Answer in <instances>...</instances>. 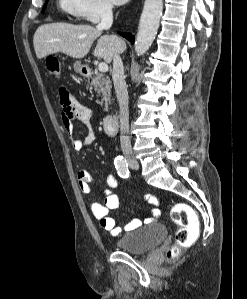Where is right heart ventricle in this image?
<instances>
[{
	"mask_svg": "<svg viewBox=\"0 0 247 299\" xmlns=\"http://www.w3.org/2000/svg\"><path fill=\"white\" fill-rule=\"evenodd\" d=\"M58 6L64 13L75 15L76 0H58Z\"/></svg>",
	"mask_w": 247,
	"mask_h": 299,
	"instance_id": "right-heart-ventricle-1",
	"label": "right heart ventricle"
}]
</instances>
